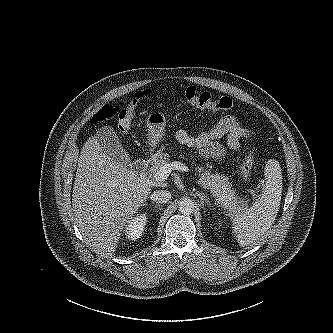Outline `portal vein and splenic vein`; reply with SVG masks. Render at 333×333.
Returning a JSON list of instances; mask_svg holds the SVG:
<instances>
[{"label":"portal vein and splenic vein","instance_id":"18ae733b","mask_svg":"<svg viewBox=\"0 0 333 333\" xmlns=\"http://www.w3.org/2000/svg\"><path fill=\"white\" fill-rule=\"evenodd\" d=\"M172 170H180V171H187L188 168L182 164L181 162H170V163H165L160 167V169L152 175V178L155 182L159 181H164L168 178L169 174L172 172ZM262 183H259L257 185L256 190L249 189L248 191L255 196L256 193L258 192V189L260 188Z\"/></svg>","mask_w":333,"mask_h":333}]
</instances>
